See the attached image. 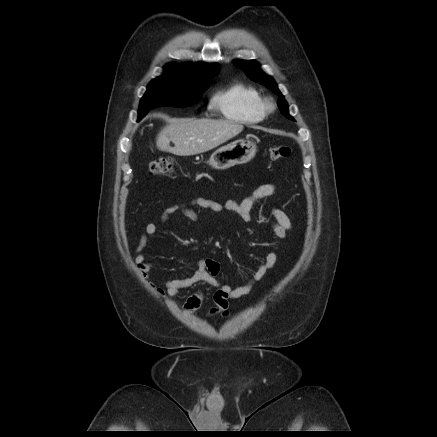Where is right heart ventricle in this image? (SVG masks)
Listing matches in <instances>:
<instances>
[{"label":"right heart ventricle","instance_id":"1","mask_svg":"<svg viewBox=\"0 0 437 437\" xmlns=\"http://www.w3.org/2000/svg\"><path fill=\"white\" fill-rule=\"evenodd\" d=\"M210 105L226 119L241 124H256L265 117L260 93L243 83H233L215 92Z\"/></svg>","mask_w":437,"mask_h":437}]
</instances>
